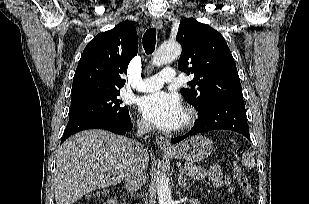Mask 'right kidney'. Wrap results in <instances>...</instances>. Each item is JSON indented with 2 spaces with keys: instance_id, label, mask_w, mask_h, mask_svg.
<instances>
[{
  "instance_id": "1",
  "label": "right kidney",
  "mask_w": 309,
  "mask_h": 204,
  "mask_svg": "<svg viewBox=\"0 0 309 204\" xmlns=\"http://www.w3.org/2000/svg\"><path fill=\"white\" fill-rule=\"evenodd\" d=\"M106 204H117V200L116 199H111Z\"/></svg>"
}]
</instances>
